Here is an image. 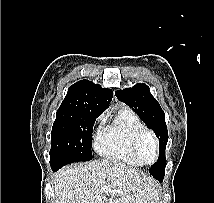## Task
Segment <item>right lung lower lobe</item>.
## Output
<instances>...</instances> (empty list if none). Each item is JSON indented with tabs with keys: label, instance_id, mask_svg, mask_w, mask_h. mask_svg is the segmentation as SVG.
Returning <instances> with one entry per match:
<instances>
[{
	"label": "right lung lower lobe",
	"instance_id": "1",
	"mask_svg": "<svg viewBox=\"0 0 214 203\" xmlns=\"http://www.w3.org/2000/svg\"><path fill=\"white\" fill-rule=\"evenodd\" d=\"M53 171H57L58 169L52 168Z\"/></svg>",
	"mask_w": 214,
	"mask_h": 203
}]
</instances>
